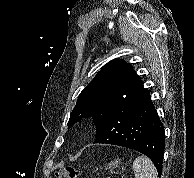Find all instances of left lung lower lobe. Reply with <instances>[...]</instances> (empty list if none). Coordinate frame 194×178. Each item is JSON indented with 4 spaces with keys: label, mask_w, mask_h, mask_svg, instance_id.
I'll return each instance as SVG.
<instances>
[{
    "label": "left lung lower lobe",
    "mask_w": 194,
    "mask_h": 178,
    "mask_svg": "<svg viewBox=\"0 0 194 178\" xmlns=\"http://www.w3.org/2000/svg\"><path fill=\"white\" fill-rule=\"evenodd\" d=\"M94 143L114 144L141 152L152 160L160 177L164 128L149 91L145 89L131 95L109 112L96 128Z\"/></svg>",
    "instance_id": "obj_1"
}]
</instances>
